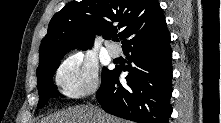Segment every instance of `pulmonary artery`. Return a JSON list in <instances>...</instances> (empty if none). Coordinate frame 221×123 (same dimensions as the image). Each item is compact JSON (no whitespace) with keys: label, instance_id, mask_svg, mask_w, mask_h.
I'll return each instance as SVG.
<instances>
[{"label":"pulmonary artery","instance_id":"pulmonary-artery-1","mask_svg":"<svg viewBox=\"0 0 221 123\" xmlns=\"http://www.w3.org/2000/svg\"><path fill=\"white\" fill-rule=\"evenodd\" d=\"M107 51L109 55L113 58H117L121 53V50L115 45H108Z\"/></svg>","mask_w":221,"mask_h":123}]
</instances>
